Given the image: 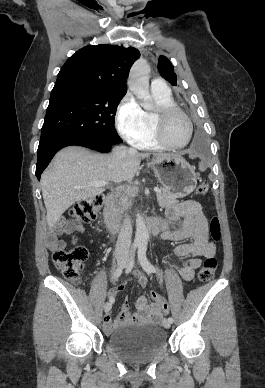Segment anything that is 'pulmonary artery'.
Listing matches in <instances>:
<instances>
[{
    "label": "pulmonary artery",
    "instance_id": "obj_1",
    "mask_svg": "<svg viewBox=\"0 0 265 388\" xmlns=\"http://www.w3.org/2000/svg\"><path fill=\"white\" fill-rule=\"evenodd\" d=\"M150 86L153 90H170V83H165L164 79H150Z\"/></svg>",
    "mask_w": 265,
    "mask_h": 388
}]
</instances>
